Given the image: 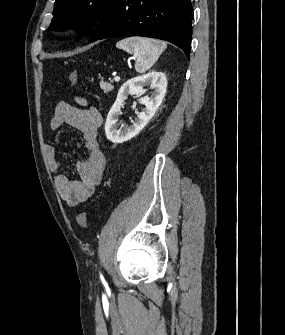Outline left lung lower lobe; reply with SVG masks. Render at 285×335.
<instances>
[{"instance_id":"obj_1","label":"left lung lower lobe","mask_w":285,"mask_h":335,"mask_svg":"<svg viewBox=\"0 0 285 335\" xmlns=\"http://www.w3.org/2000/svg\"><path fill=\"white\" fill-rule=\"evenodd\" d=\"M191 0H114L91 35L94 41L129 35L169 41L190 58Z\"/></svg>"}]
</instances>
